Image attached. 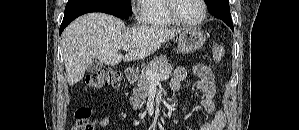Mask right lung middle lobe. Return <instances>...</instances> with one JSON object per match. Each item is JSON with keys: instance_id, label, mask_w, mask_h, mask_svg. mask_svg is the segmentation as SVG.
<instances>
[{"instance_id": "right-lung-middle-lobe-1", "label": "right lung middle lobe", "mask_w": 299, "mask_h": 130, "mask_svg": "<svg viewBox=\"0 0 299 130\" xmlns=\"http://www.w3.org/2000/svg\"><path fill=\"white\" fill-rule=\"evenodd\" d=\"M73 3H91L99 4L116 8L123 11L126 14L132 15L131 0H69L67 4Z\"/></svg>"}]
</instances>
